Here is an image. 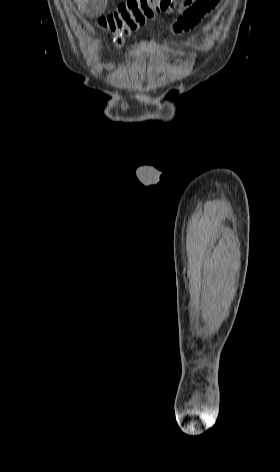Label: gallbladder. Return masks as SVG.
Here are the masks:
<instances>
[{"instance_id":"gallbladder-1","label":"gallbladder","mask_w":280,"mask_h":472,"mask_svg":"<svg viewBox=\"0 0 280 472\" xmlns=\"http://www.w3.org/2000/svg\"><path fill=\"white\" fill-rule=\"evenodd\" d=\"M108 0H88L86 13L90 18H97L105 12Z\"/></svg>"}]
</instances>
